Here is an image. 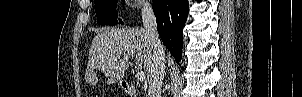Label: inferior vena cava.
Here are the masks:
<instances>
[{
    "instance_id": "obj_1",
    "label": "inferior vena cava",
    "mask_w": 302,
    "mask_h": 97,
    "mask_svg": "<svg viewBox=\"0 0 302 97\" xmlns=\"http://www.w3.org/2000/svg\"><path fill=\"white\" fill-rule=\"evenodd\" d=\"M141 14L145 32L150 40L152 49L148 96L160 97L165 74V51L159 38L156 18L152 6L149 3H146L143 6Z\"/></svg>"
}]
</instances>
